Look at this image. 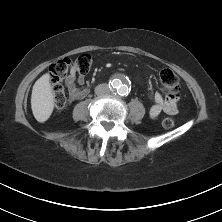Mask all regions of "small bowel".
Instances as JSON below:
<instances>
[{
    "mask_svg": "<svg viewBox=\"0 0 222 222\" xmlns=\"http://www.w3.org/2000/svg\"><path fill=\"white\" fill-rule=\"evenodd\" d=\"M65 85L69 92L71 101L84 98L88 94L85 85V77L77 74L72 69L68 77L65 79ZM153 104L150 108L149 115L152 119H157L161 113L174 115L177 113V105L183 100V95L178 90H173L168 95V100L164 99L159 92H153L150 95Z\"/></svg>",
    "mask_w": 222,
    "mask_h": 222,
    "instance_id": "1",
    "label": "small bowel"
}]
</instances>
